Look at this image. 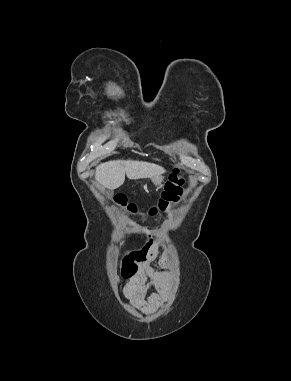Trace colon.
Returning a JSON list of instances; mask_svg holds the SVG:
<instances>
[{
  "instance_id": "1",
  "label": "colon",
  "mask_w": 291,
  "mask_h": 381,
  "mask_svg": "<svg viewBox=\"0 0 291 381\" xmlns=\"http://www.w3.org/2000/svg\"><path fill=\"white\" fill-rule=\"evenodd\" d=\"M184 175L179 170L174 171L166 181L161 196L156 204L151 206L142 214V218L155 217L160 214H167L171 207L177 204L183 194ZM115 202L127 209L131 213H136L137 209L134 204L127 202L126 198L120 196L115 199ZM140 252L133 253L128 259L131 264L134 259H138Z\"/></svg>"
}]
</instances>
